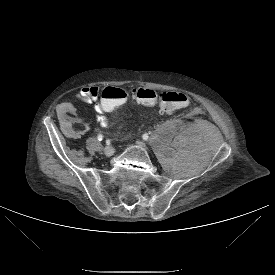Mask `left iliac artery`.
I'll return each instance as SVG.
<instances>
[{"label": "left iliac artery", "instance_id": "44dca946", "mask_svg": "<svg viewBox=\"0 0 275 275\" xmlns=\"http://www.w3.org/2000/svg\"><path fill=\"white\" fill-rule=\"evenodd\" d=\"M142 137H143V139H144V140H147V139L149 138V136H148V134H147V133L143 134V136H142Z\"/></svg>", "mask_w": 275, "mask_h": 275}]
</instances>
